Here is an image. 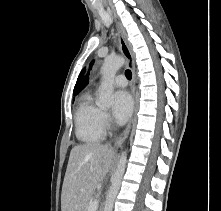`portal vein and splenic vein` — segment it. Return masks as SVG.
Segmentation results:
<instances>
[{"label": "portal vein and splenic vein", "instance_id": "portal-vein-and-splenic-vein-1", "mask_svg": "<svg viewBox=\"0 0 221 211\" xmlns=\"http://www.w3.org/2000/svg\"><path fill=\"white\" fill-rule=\"evenodd\" d=\"M99 205V201L96 198H93L89 203L88 211H96Z\"/></svg>", "mask_w": 221, "mask_h": 211}]
</instances>
